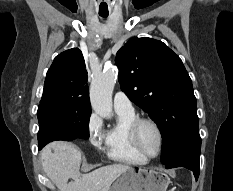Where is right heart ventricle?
I'll return each mask as SVG.
<instances>
[{
  "label": "right heart ventricle",
  "mask_w": 233,
  "mask_h": 191,
  "mask_svg": "<svg viewBox=\"0 0 233 191\" xmlns=\"http://www.w3.org/2000/svg\"><path fill=\"white\" fill-rule=\"evenodd\" d=\"M117 122L112 125L105 137L106 154L109 159L127 164H141L147 161L133 147L129 137V127L137 119L134 111H116Z\"/></svg>",
  "instance_id": "obj_1"
}]
</instances>
